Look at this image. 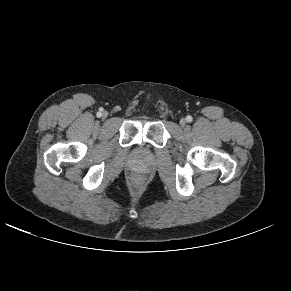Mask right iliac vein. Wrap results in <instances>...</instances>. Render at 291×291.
Returning a JSON list of instances; mask_svg holds the SVG:
<instances>
[{"instance_id":"63e3f726","label":"right iliac vein","mask_w":291,"mask_h":291,"mask_svg":"<svg viewBox=\"0 0 291 291\" xmlns=\"http://www.w3.org/2000/svg\"><path fill=\"white\" fill-rule=\"evenodd\" d=\"M102 117H103V118H106V117H107V113H106V112H103V113H102Z\"/></svg>"}]
</instances>
